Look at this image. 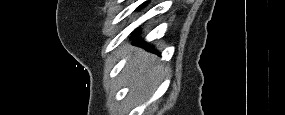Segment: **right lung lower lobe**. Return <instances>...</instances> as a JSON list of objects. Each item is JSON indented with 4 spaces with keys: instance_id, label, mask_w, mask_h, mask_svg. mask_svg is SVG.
<instances>
[{
    "instance_id": "obj_1",
    "label": "right lung lower lobe",
    "mask_w": 285,
    "mask_h": 115,
    "mask_svg": "<svg viewBox=\"0 0 285 115\" xmlns=\"http://www.w3.org/2000/svg\"><path fill=\"white\" fill-rule=\"evenodd\" d=\"M138 41H139V40H138ZM139 43H141V44L145 45L149 50H152V49H153V47H152V46H148V44H147V43H145V42H143V41H141V42H139Z\"/></svg>"
}]
</instances>
